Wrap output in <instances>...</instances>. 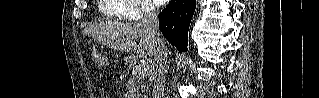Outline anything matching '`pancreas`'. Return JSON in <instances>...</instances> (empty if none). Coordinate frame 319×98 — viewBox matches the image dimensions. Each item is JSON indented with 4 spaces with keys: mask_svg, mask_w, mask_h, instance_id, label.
Here are the masks:
<instances>
[{
    "mask_svg": "<svg viewBox=\"0 0 319 98\" xmlns=\"http://www.w3.org/2000/svg\"><path fill=\"white\" fill-rule=\"evenodd\" d=\"M136 57L134 55L128 56L126 58V64L129 67V70H132V74L135 75L138 79L141 80V91L143 93H147L149 91V87H148V82L146 81V78L148 76V74H144V75H138L134 72V69L137 67L136 66Z\"/></svg>",
    "mask_w": 319,
    "mask_h": 98,
    "instance_id": "cf45deb5",
    "label": "pancreas"
}]
</instances>
